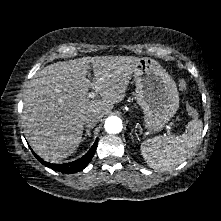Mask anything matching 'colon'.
I'll return each mask as SVG.
<instances>
[{
    "label": "colon",
    "mask_w": 221,
    "mask_h": 221,
    "mask_svg": "<svg viewBox=\"0 0 221 221\" xmlns=\"http://www.w3.org/2000/svg\"><path fill=\"white\" fill-rule=\"evenodd\" d=\"M179 88H180L181 90H183V91H185V90L187 89V84H186V82H185L184 80H180V81H179ZM187 111H188V113H189V115H190L191 117H197V116H198V111H197V109L194 108V107L191 106V105H189V106L187 107Z\"/></svg>",
    "instance_id": "1"
}]
</instances>
